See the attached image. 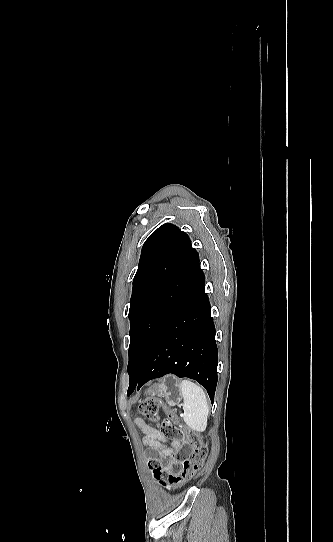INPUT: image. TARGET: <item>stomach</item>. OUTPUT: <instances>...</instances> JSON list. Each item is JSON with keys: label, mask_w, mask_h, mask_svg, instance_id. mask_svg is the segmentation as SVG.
I'll return each mask as SVG.
<instances>
[{"label": "stomach", "mask_w": 333, "mask_h": 542, "mask_svg": "<svg viewBox=\"0 0 333 542\" xmlns=\"http://www.w3.org/2000/svg\"><path fill=\"white\" fill-rule=\"evenodd\" d=\"M146 394L149 396H159L164 398L168 406H179L182 400V394L180 392V380L172 374H168L165 378H162L160 384H153L151 388H148Z\"/></svg>", "instance_id": "obj_1"}]
</instances>
